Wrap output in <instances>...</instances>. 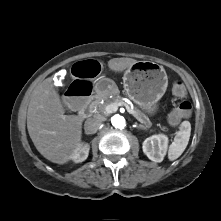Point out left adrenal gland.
Wrapping results in <instances>:
<instances>
[{
  "label": "left adrenal gland",
  "mask_w": 221,
  "mask_h": 221,
  "mask_svg": "<svg viewBox=\"0 0 221 221\" xmlns=\"http://www.w3.org/2000/svg\"><path fill=\"white\" fill-rule=\"evenodd\" d=\"M138 128L139 129H146V127H144L143 125H139Z\"/></svg>",
  "instance_id": "obj_1"
}]
</instances>
